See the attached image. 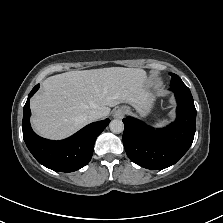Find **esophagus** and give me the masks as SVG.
<instances>
[{
    "label": "esophagus",
    "mask_w": 223,
    "mask_h": 223,
    "mask_svg": "<svg viewBox=\"0 0 223 223\" xmlns=\"http://www.w3.org/2000/svg\"><path fill=\"white\" fill-rule=\"evenodd\" d=\"M126 114V109L125 107H119L116 108L113 112V117L114 118H123Z\"/></svg>",
    "instance_id": "34e87169"
}]
</instances>
